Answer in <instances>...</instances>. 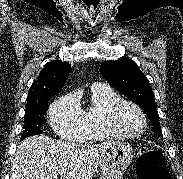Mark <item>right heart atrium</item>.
I'll return each mask as SVG.
<instances>
[{
  "mask_svg": "<svg viewBox=\"0 0 183 179\" xmlns=\"http://www.w3.org/2000/svg\"><path fill=\"white\" fill-rule=\"evenodd\" d=\"M50 123L60 137L71 141L82 139L85 121L75 94H66L53 103L50 108Z\"/></svg>",
  "mask_w": 183,
  "mask_h": 179,
  "instance_id": "right-heart-atrium-1",
  "label": "right heart atrium"
}]
</instances>
